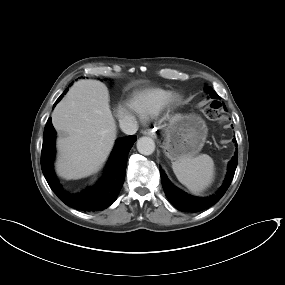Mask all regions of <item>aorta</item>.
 Segmentation results:
<instances>
[{
	"instance_id": "1",
	"label": "aorta",
	"mask_w": 285,
	"mask_h": 285,
	"mask_svg": "<svg viewBox=\"0 0 285 285\" xmlns=\"http://www.w3.org/2000/svg\"><path fill=\"white\" fill-rule=\"evenodd\" d=\"M137 150L143 155H151L155 150V142L150 137H141L137 140Z\"/></svg>"
}]
</instances>
